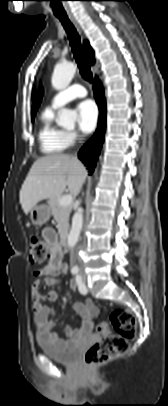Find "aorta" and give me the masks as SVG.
I'll use <instances>...</instances> for the list:
<instances>
[{
  "label": "aorta",
  "mask_w": 168,
  "mask_h": 406,
  "mask_svg": "<svg viewBox=\"0 0 168 406\" xmlns=\"http://www.w3.org/2000/svg\"><path fill=\"white\" fill-rule=\"evenodd\" d=\"M76 72V66L72 62H66L56 65L51 83L57 90L65 89L73 79ZM77 113L69 109H62L59 112L57 123L65 128L73 127ZM83 225V210L78 209L72 219V227L68 235V247L73 248L78 242Z\"/></svg>",
  "instance_id": "aorta-1"
}]
</instances>
